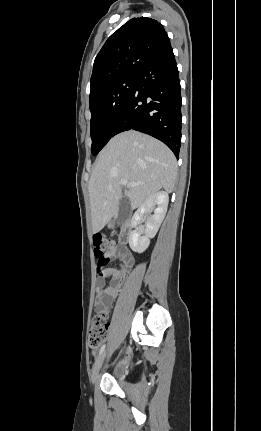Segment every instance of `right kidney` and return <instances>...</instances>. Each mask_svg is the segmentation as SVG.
<instances>
[{"mask_svg": "<svg viewBox=\"0 0 261 431\" xmlns=\"http://www.w3.org/2000/svg\"><path fill=\"white\" fill-rule=\"evenodd\" d=\"M169 196L167 192L159 191L150 195L143 204L138 208L132 218V225L135 230L129 234V245L134 252H144L164 220L167 212ZM154 209V214L150 215L146 222L145 235L141 236V232L136 226L139 224L144 215L149 214Z\"/></svg>", "mask_w": 261, "mask_h": 431, "instance_id": "1", "label": "right kidney"}]
</instances>
